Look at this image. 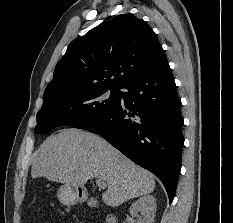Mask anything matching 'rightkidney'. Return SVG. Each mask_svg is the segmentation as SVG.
<instances>
[{
	"instance_id": "obj_1",
	"label": "right kidney",
	"mask_w": 233,
	"mask_h": 223,
	"mask_svg": "<svg viewBox=\"0 0 233 223\" xmlns=\"http://www.w3.org/2000/svg\"><path fill=\"white\" fill-rule=\"evenodd\" d=\"M155 211L156 199L154 195H143V197L136 199L130 207L131 215L137 217L136 223H154Z\"/></svg>"
}]
</instances>
